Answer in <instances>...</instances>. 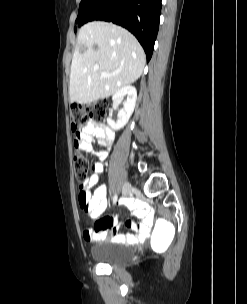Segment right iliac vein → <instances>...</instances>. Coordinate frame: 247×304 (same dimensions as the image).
<instances>
[{
    "label": "right iliac vein",
    "mask_w": 247,
    "mask_h": 304,
    "mask_svg": "<svg viewBox=\"0 0 247 304\" xmlns=\"http://www.w3.org/2000/svg\"><path fill=\"white\" fill-rule=\"evenodd\" d=\"M132 186L130 183H125L123 186V196L128 197L131 194Z\"/></svg>",
    "instance_id": "obj_1"
}]
</instances>
